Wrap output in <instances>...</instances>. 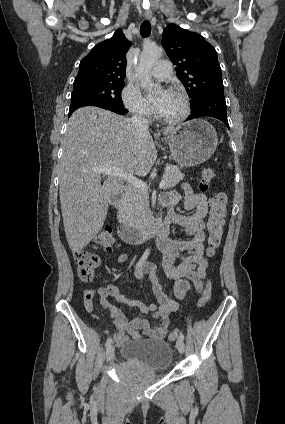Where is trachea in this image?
<instances>
[{
    "mask_svg": "<svg viewBox=\"0 0 285 424\" xmlns=\"http://www.w3.org/2000/svg\"><path fill=\"white\" fill-rule=\"evenodd\" d=\"M150 33H151V24L149 21L146 20L141 24L140 34L143 37H147L150 35Z\"/></svg>",
    "mask_w": 285,
    "mask_h": 424,
    "instance_id": "obj_1",
    "label": "trachea"
}]
</instances>
